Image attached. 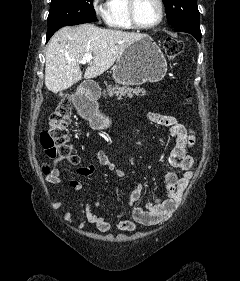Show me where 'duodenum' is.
<instances>
[{
    "mask_svg": "<svg viewBox=\"0 0 240 281\" xmlns=\"http://www.w3.org/2000/svg\"><path fill=\"white\" fill-rule=\"evenodd\" d=\"M98 96V89L92 86H86L82 92V98L80 100V104L84 105L88 100H92L97 98Z\"/></svg>",
    "mask_w": 240,
    "mask_h": 281,
    "instance_id": "1",
    "label": "duodenum"
}]
</instances>
